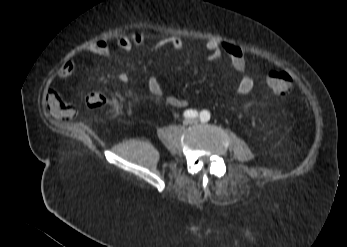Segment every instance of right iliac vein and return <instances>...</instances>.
I'll use <instances>...</instances> for the list:
<instances>
[{
  "label": "right iliac vein",
  "instance_id": "right-iliac-vein-1",
  "mask_svg": "<svg viewBox=\"0 0 347 247\" xmlns=\"http://www.w3.org/2000/svg\"><path fill=\"white\" fill-rule=\"evenodd\" d=\"M190 124H192V121L189 120V119H186V120L183 121V125H184V126H188V125H190Z\"/></svg>",
  "mask_w": 347,
  "mask_h": 247
}]
</instances>
